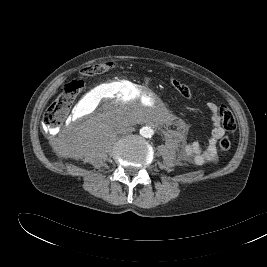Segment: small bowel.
Here are the masks:
<instances>
[{
    "label": "small bowel",
    "instance_id": "obj_1",
    "mask_svg": "<svg viewBox=\"0 0 267 267\" xmlns=\"http://www.w3.org/2000/svg\"><path fill=\"white\" fill-rule=\"evenodd\" d=\"M207 109L212 120V130L206 145L202 146L194 142L183 144L181 148L182 157L197 165L215 162L217 160L216 144L226 131L219 112L220 106L214 102H208Z\"/></svg>",
    "mask_w": 267,
    "mask_h": 267
}]
</instances>
